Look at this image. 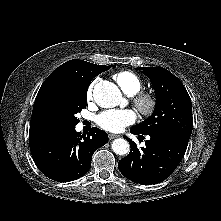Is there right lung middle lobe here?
<instances>
[{
	"label": "right lung middle lobe",
	"mask_w": 221,
	"mask_h": 221,
	"mask_svg": "<svg viewBox=\"0 0 221 221\" xmlns=\"http://www.w3.org/2000/svg\"><path fill=\"white\" fill-rule=\"evenodd\" d=\"M112 65L109 66V68ZM87 90L60 89L53 92L43 105L40 121L45 132L74 127L76 114L87 105Z\"/></svg>",
	"instance_id": "dd1d6c3e"
}]
</instances>
